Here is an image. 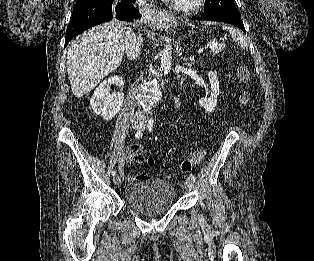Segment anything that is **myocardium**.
I'll return each instance as SVG.
<instances>
[{
  "mask_svg": "<svg viewBox=\"0 0 314 261\" xmlns=\"http://www.w3.org/2000/svg\"><path fill=\"white\" fill-rule=\"evenodd\" d=\"M170 2H171V6L175 10L188 13V12H194L200 9L203 6L205 0H189L187 2L170 0Z\"/></svg>",
  "mask_w": 314,
  "mask_h": 261,
  "instance_id": "myocardium-1",
  "label": "myocardium"
}]
</instances>
